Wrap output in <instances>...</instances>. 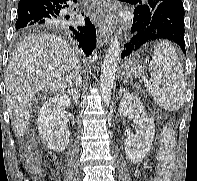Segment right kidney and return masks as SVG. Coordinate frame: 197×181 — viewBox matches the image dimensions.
I'll return each instance as SVG.
<instances>
[{
    "mask_svg": "<svg viewBox=\"0 0 197 181\" xmlns=\"http://www.w3.org/2000/svg\"><path fill=\"white\" fill-rule=\"evenodd\" d=\"M70 103L67 95L57 94L49 98L40 109L37 119L39 134L47 148L52 151L63 152L68 146L70 132L61 113Z\"/></svg>",
    "mask_w": 197,
    "mask_h": 181,
    "instance_id": "1",
    "label": "right kidney"
}]
</instances>
